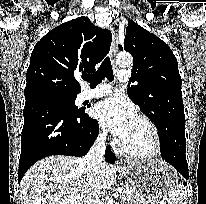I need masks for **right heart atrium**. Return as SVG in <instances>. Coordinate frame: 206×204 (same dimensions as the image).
Here are the masks:
<instances>
[{
  "label": "right heart atrium",
  "mask_w": 206,
  "mask_h": 204,
  "mask_svg": "<svg viewBox=\"0 0 206 204\" xmlns=\"http://www.w3.org/2000/svg\"><path fill=\"white\" fill-rule=\"evenodd\" d=\"M106 137H107L106 131L104 129H101L100 132H99V138L101 140H105Z\"/></svg>",
  "instance_id": "1"
}]
</instances>
